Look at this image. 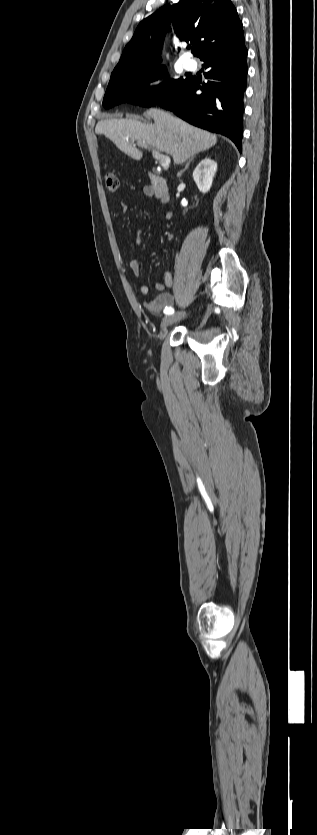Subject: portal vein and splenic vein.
I'll return each mask as SVG.
<instances>
[{
	"instance_id": "1",
	"label": "portal vein and splenic vein",
	"mask_w": 317,
	"mask_h": 835,
	"mask_svg": "<svg viewBox=\"0 0 317 835\" xmlns=\"http://www.w3.org/2000/svg\"><path fill=\"white\" fill-rule=\"evenodd\" d=\"M140 146H142L144 148H148V146L146 144H141ZM152 155L155 159L159 160L160 165L162 167L169 166V164L171 162V159H170L169 156H164V155L160 154L156 149H152Z\"/></svg>"
}]
</instances>
